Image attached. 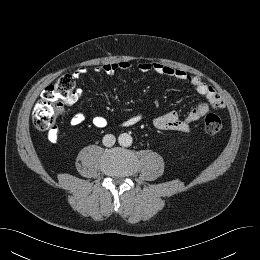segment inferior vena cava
Returning a JSON list of instances; mask_svg holds the SVG:
<instances>
[{
  "instance_id": "1",
  "label": "inferior vena cava",
  "mask_w": 260,
  "mask_h": 260,
  "mask_svg": "<svg viewBox=\"0 0 260 260\" xmlns=\"http://www.w3.org/2000/svg\"><path fill=\"white\" fill-rule=\"evenodd\" d=\"M103 145L106 146V147H111L115 144L116 142V138L113 134H106L104 137H103Z\"/></svg>"
}]
</instances>
